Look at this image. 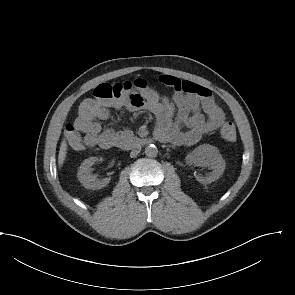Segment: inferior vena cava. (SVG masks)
<instances>
[{
  "label": "inferior vena cava",
  "instance_id": "602c4592",
  "mask_svg": "<svg viewBox=\"0 0 295 295\" xmlns=\"http://www.w3.org/2000/svg\"><path fill=\"white\" fill-rule=\"evenodd\" d=\"M141 150V146L140 145H135L130 153V157L131 158H134L138 155V153L140 152Z\"/></svg>",
  "mask_w": 295,
  "mask_h": 295
}]
</instances>
